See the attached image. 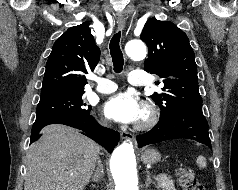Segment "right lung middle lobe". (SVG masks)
<instances>
[{"label":"right lung middle lobe","instance_id":"right-lung-middle-lobe-1","mask_svg":"<svg viewBox=\"0 0 238 190\" xmlns=\"http://www.w3.org/2000/svg\"><path fill=\"white\" fill-rule=\"evenodd\" d=\"M84 92L69 93L40 98L37 105L36 121L65 116L89 115L91 107L85 108Z\"/></svg>","mask_w":238,"mask_h":190}]
</instances>
